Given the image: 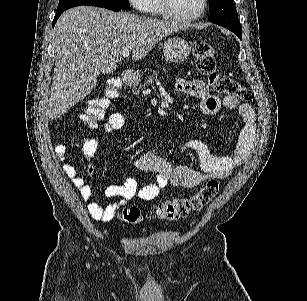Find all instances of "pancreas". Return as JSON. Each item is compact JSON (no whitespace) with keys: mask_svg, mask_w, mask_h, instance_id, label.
<instances>
[{"mask_svg":"<svg viewBox=\"0 0 307 301\" xmlns=\"http://www.w3.org/2000/svg\"><path fill=\"white\" fill-rule=\"evenodd\" d=\"M163 70L165 72V68H163ZM155 80H158L157 70H153L151 74H148V76H145V82H143V84H140L139 88H142V86H149V84H152V82H155Z\"/></svg>","mask_w":307,"mask_h":301,"instance_id":"1","label":"pancreas"}]
</instances>
